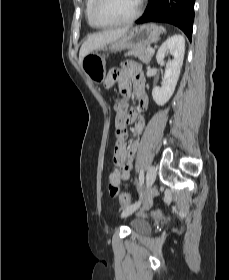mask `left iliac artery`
I'll list each match as a JSON object with an SVG mask.
<instances>
[{
	"label": "left iliac artery",
	"instance_id": "left-iliac-artery-1",
	"mask_svg": "<svg viewBox=\"0 0 229 280\" xmlns=\"http://www.w3.org/2000/svg\"><path fill=\"white\" fill-rule=\"evenodd\" d=\"M138 181H139V186H142V184L144 182V171L143 170L140 171Z\"/></svg>",
	"mask_w": 229,
	"mask_h": 280
}]
</instances>
